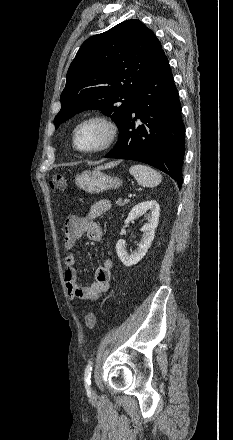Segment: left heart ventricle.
I'll return each mask as SVG.
<instances>
[{
  "mask_svg": "<svg viewBox=\"0 0 233 440\" xmlns=\"http://www.w3.org/2000/svg\"><path fill=\"white\" fill-rule=\"evenodd\" d=\"M106 137L107 130L102 124L90 122L79 129L77 143L82 149H93L102 145Z\"/></svg>",
  "mask_w": 233,
  "mask_h": 440,
  "instance_id": "b2bd125f",
  "label": "left heart ventricle"
}]
</instances>
